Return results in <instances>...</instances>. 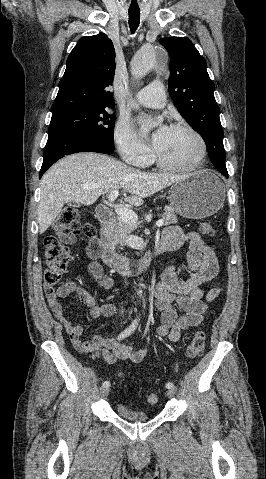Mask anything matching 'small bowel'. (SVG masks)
Listing matches in <instances>:
<instances>
[{
	"mask_svg": "<svg viewBox=\"0 0 266 479\" xmlns=\"http://www.w3.org/2000/svg\"><path fill=\"white\" fill-rule=\"evenodd\" d=\"M62 239L69 244L76 241V237L70 234L62 235ZM159 243L165 250H177L186 244L189 245L187 264L183 268L188 277L185 280L179 279V272L182 269L169 266L163 271L161 280L154 289L155 304L161 312V323L157 327V334L177 342L184 330L199 326L203 322L208 303L220 293L219 287L209 292L203 288L204 284L212 282L217 276L219 263L215 253L196 232L184 233L178 226H168L164 229ZM90 256L95 259L91 254ZM89 276L90 280L101 289L108 290L114 285L113 278L104 273L102 264L97 260L89 265ZM73 293L77 294L81 306L89 308L91 319L112 317L118 315L119 310L113 304L95 306L92 295L73 281L63 283L52 292L46 291L52 313L69 335L77 351L100 355L109 364L124 359L140 363L144 359L145 349L137 350L118 340L104 338L97 334L82 339V326L70 321L62 302ZM173 304H177L182 313H178L173 308Z\"/></svg>",
	"mask_w": 266,
	"mask_h": 479,
	"instance_id": "obj_1",
	"label": "small bowel"
}]
</instances>
